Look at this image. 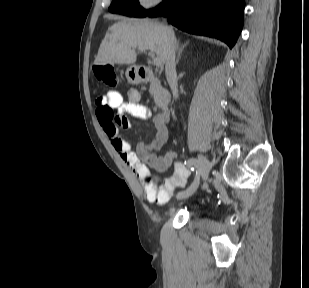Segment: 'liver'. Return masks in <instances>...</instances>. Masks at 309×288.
Listing matches in <instances>:
<instances>
[{"label": "liver", "mask_w": 309, "mask_h": 288, "mask_svg": "<svg viewBox=\"0 0 309 288\" xmlns=\"http://www.w3.org/2000/svg\"><path fill=\"white\" fill-rule=\"evenodd\" d=\"M141 46H154L157 56L165 62L168 48L166 27L147 19H122L108 29L95 63L134 64L136 48Z\"/></svg>", "instance_id": "1"}]
</instances>
